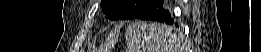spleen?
Instances as JSON below:
<instances>
[{"mask_svg":"<svg viewBox=\"0 0 261 52\" xmlns=\"http://www.w3.org/2000/svg\"><path fill=\"white\" fill-rule=\"evenodd\" d=\"M169 35L171 29L160 23L135 22L126 31L133 52H174L178 38Z\"/></svg>","mask_w":261,"mask_h":52,"instance_id":"1","label":"spleen"}]
</instances>
